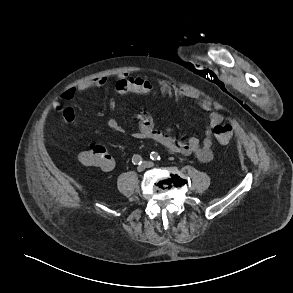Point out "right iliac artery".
<instances>
[{"label": "right iliac artery", "instance_id": "right-iliac-artery-1", "mask_svg": "<svg viewBox=\"0 0 293 293\" xmlns=\"http://www.w3.org/2000/svg\"><path fill=\"white\" fill-rule=\"evenodd\" d=\"M132 163L134 165H140L142 163V157L140 155H138V154L134 155L132 157Z\"/></svg>", "mask_w": 293, "mask_h": 293}]
</instances>
